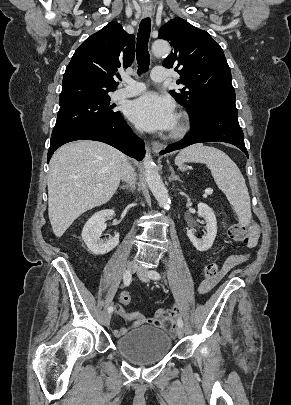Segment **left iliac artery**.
<instances>
[{
  "label": "left iliac artery",
  "instance_id": "obj_1",
  "mask_svg": "<svg viewBox=\"0 0 291 405\" xmlns=\"http://www.w3.org/2000/svg\"><path fill=\"white\" fill-rule=\"evenodd\" d=\"M148 275H149L150 278H152L154 280H159L161 278L160 274L155 270L149 271ZM177 325L179 327H183L184 324H183V320L181 318H178Z\"/></svg>",
  "mask_w": 291,
  "mask_h": 405
}]
</instances>
